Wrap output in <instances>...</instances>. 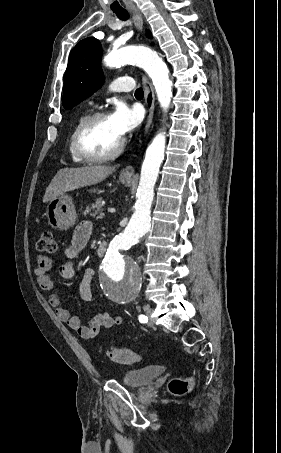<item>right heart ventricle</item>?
I'll use <instances>...</instances> for the list:
<instances>
[{
    "label": "right heart ventricle",
    "instance_id": "right-heart-ventricle-1",
    "mask_svg": "<svg viewBox=\"0 0 281 453\" xmlns=\"http://www.w3.org/2000/svg\"><path fill=\"white\" fill-rule=\"evenodd\" d=\"M88 117H89L88 114H84L76 120V122L74 123V125L69 133V138H68L69 150H70L71 156L75 162H79V163L83 162V159L77 154L76 146H75V137H76V133H77L79 126Z\"/></svg>",
    "mask_w": 281,
    "mask_h": 453
}]
</instances>
